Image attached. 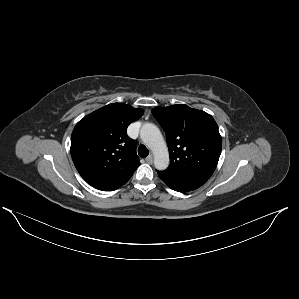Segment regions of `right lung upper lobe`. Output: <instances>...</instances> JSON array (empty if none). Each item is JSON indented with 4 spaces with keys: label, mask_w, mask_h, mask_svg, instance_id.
Returning <instances> with one entry per match:
<instances>
[{
    "label": "right lung upper lobe",
    "mask_w": 299,
    "mask_h": 299,
    "mask_svg": "<svg viewBox=\"0 0 299 299\" xmlns=\"http://www.w3.org/2000/svg\"><path fill=\"white\" fill-rule=\"evenodd\" d=\"M143 115L123 103L106 105L81 119L71 135V156L82 178L99 189L128 181L140 165L128 125Z\"/></svg>",
    "instance_id": "right-lung-upper-lobe-1"
}]
</instances>
